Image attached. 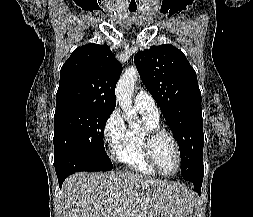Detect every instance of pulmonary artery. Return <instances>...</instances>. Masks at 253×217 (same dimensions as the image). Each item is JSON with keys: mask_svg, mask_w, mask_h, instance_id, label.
I'll return each mask as SVG.
<instances>
[{"mask_svg": "<svg viewBox=\"0 0 253 217\" xmlns=\"http://www.w3.org/2000/svg\"><path fill=\"white\" fill-rule=\"evenodd\" d=\"M135 105L138 109L159 117V109L154 98L145 90H139L135 96Z\"/></svg>", "mask_w": 253, "mask_h": 217, "instance_id": "1", "label": "pulmonary artery"}]
</instances>
